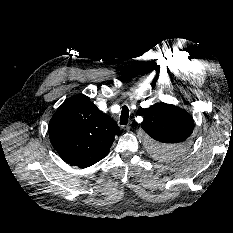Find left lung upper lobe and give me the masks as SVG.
Wrapping results in <instances>:
<instances>
[{
  "label": "left lung upper lobe",
  "mask_w": 233,
  "mask_h": 233,
  "mask_svg": "<svg viewBox=\"0 0 233 233\" xmlns=\"http://www.w3.org/2000/svg\"><path fill=\"white\" fill-rule=\"evenodd\" d=\"M141 127L149 135L148 141L155 154L173 158L189 147L194 120L184 109L156 103L145 109Z\"/></svg>",
  "instance_id": "obj_1"
}]
</instances>
